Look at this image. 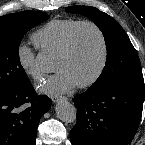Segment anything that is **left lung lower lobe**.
<instances>
[{
    "label": "left lung lower lobe",
    "mask_w": 145,
    "mask_h": 145,
    "mask_svg": "<svg viewBox=\"0 0 145 145\" xmlns=\"http://www.w3.org/2000/svg\"><path fill=\"white\" fill-rule=\"evenodd\" d=\"M77 123L72 145H128L138 129L144 101V81L88 89L73 98Z\"/></svg>",
    "instance_id": "left-lung-lower-lobe-1"
}]
</instances>
